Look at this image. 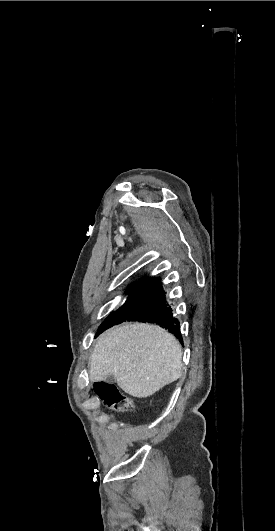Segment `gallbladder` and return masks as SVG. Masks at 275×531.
Masks as SVG:
<instances>
[{"label": "gallbladder", "mask_w": 275, "mask_h": 531, "mask_svg": "<svg viewBox=\"0 0 275 531\" xmlns=\"http://www.w3.org/2000/svg\"><path fill=\"white\" fill-rule=\"evenodd\" d=\"M106 383H110V385H112V383H116V379L110 375V377H107Z\"/></svg>", "instance_id": "bac80fb5"}]
</instances>
